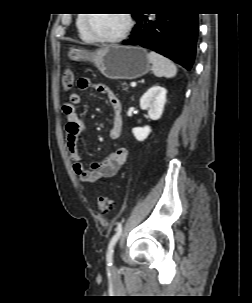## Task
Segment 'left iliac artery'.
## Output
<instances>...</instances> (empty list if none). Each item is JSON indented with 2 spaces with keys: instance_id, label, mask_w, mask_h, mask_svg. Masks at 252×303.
<instances>
[{
  "instance_id": "1",
  "label": "left iliac artery",
  "mask_w": 252,
  "mask_h": 303,
  "mask_svg": "<svg viewBox=\"0 0 252 303\" xmlns=\"http://www.w3.org/2000/svg\"><path fill=\"white\" fill-rule=\"evenodd\" d=\"M122 233V223H118L116 227V232L114 236L111 238L109 245H108V250H107V261L112 262V257H113V252H114V246L118 239L120 238V235Z\"/></svg>"
}]
</instances>
